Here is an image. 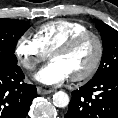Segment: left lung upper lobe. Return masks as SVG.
Returning <instances> with one entry per match:
<instances>
[{"label": "left lung upper lobe", "instance_id": "obj_1", "mask_svg": "<svg viewBox=\"0 0 118 118\" xmlns=\"http://www.w3.org/2000/svg\"><path fill=\"white\" fill-rule=\"evenodd\" d=\"M103 42V56L95 76L90 81H98L118 74V31L104 22L94 19Z\"/></svg>", "mask_w": 118, "mask_h": 118}]
</instances>
